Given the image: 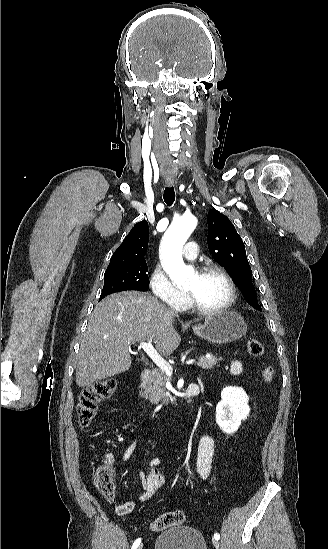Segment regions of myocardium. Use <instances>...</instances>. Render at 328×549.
<instances>
[{"mask_svg": "<svg viewBox=\"0 0 328 549\" xmlns=\"http://www.w3.org/2000/svg\"><path fill=\"white\" fill-rule=\"evenodd\" d=\"M186 266L188 268H192L198 275H202L211 271H217L226 279L229 287V295L227 300L220 306L211 309L202 307L191 294L184 290L187 301L186 305L191 310L196 312L198 315L205 317L220 315L228 311L232 307L237 297V285L232 275L228 272L226 266L215 261H200L188 263Z\"/></svg>", "mask_w": 328, "mask_h": 549, "instance_id": "1", "label": "myocardium"}]
</instances>
